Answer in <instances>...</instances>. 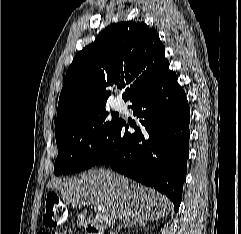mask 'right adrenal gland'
<instances>
[{
  "instance_id": "1",
  "label": "right adrenal gland",
  "mask_w": 241,
  "mask_h": 234,
  "mask_svg": "<svg viewBox=\"0 0 241 234\" xmlns=\"http://www.w3.org/2000/svg\"><path fill=\"white\" fill-rule=\"evenodd\" d=\"M145 222H139V223H125L122 226L118 227V231H120L122 228H126V227H133L134 225H139L140 227L145 226Z\"/></svg>"
}]
</instances>
